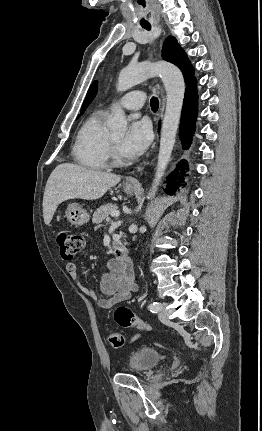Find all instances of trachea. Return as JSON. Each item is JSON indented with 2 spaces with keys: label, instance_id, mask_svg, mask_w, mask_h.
Here are the masks:
<instances>
[{
  "label": "trachea",
  "instance_id": "3493384b",
  "mask_svg": "<svg viewBox=\"0 0 262 431\" xmlns=\"http://www.w3.org/2000/svg\"><path fill=\"white\" fill-rule=\"evenodd\" d=\"M138 5L145 7V3L141 2L139 0H138ZM143 28H145L148 31L151 29L150 26H143ZM150 106H151L152 111L156 112L158 110V107H159V100L156 97H152L150 100Z\"/></svg>",
  "mask_w": 262,
  "mask_h": 431
}]
</instances>
